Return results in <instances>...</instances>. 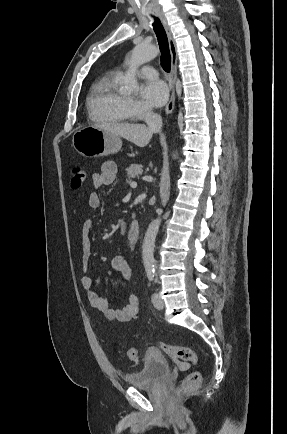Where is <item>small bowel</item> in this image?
Listing matches in <instances>:
<instances>
[{"label":"small bowel","mask_w":287,"mask_h":434,"mask_svg":"<svg viewBox=\"0 0 287 434\" xmlns=\"http://www.w3.org/2000/svg\"><path fill=\"white\" fill-rule=\"evenodd\" d=\"M117 175V168L114 162L106 161L102 163L99 172L91 176L94 187L99 188L110 185L114 182ZM101 201L97 193H90L87 197V206L91 210L100 207ZM93 228V222L86 220L83 223L80 237L81 263L83 271L86 272L88 263L92 255V244L90 233ZM112 271L119 274L123 280H128L131 276V267L126 255L120 254L115 256L110 265ZM94 278L85 274L81 278V286L87 292L88 300L91 307L104 314L110 321L128 322L136 318L138 314L139 299L137 295L131 294L126 297L125 304L120 308H114L110 305L108 299L100 296L92 290Z\"/></svg>","instance_id":"c3829d8e"}]
</instances>
